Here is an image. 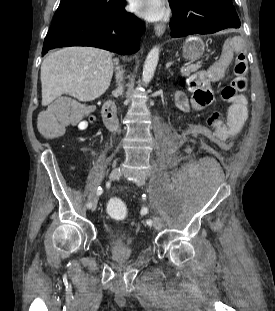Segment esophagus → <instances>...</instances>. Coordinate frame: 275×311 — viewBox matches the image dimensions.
Listing matches in <instances>:
<instances>
[{
  "label": "esophagus",
  "instance_id": "34e87169",
  "mask_svg": "<svg viewBox=\"0 0 275 311\" xmlns=\"http://www.w3.org/2000/svg\"><path fill=\"white\" fill-rule=\"evenodd\" d=\"M154 29L157 36H162L165 32L166 26L164 24H156Z\"/></svg>",
  "mask_w": 275,
  "mask_h": 311
}]
</instances>
